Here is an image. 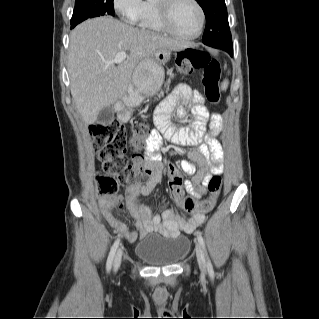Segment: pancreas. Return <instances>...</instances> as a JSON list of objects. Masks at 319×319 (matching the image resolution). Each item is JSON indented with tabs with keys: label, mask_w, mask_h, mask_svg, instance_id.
Returning a JSON list of instances; mask_svg holds the SVG:
<instances>
[{
	"label": "pancreas",
	"mask_w": 319,
	"mask_h": 319,
	"mask_svg": "<svg viewBox=\"0 0 319 319\" xmlns=\"http://www.w3.org/2000/svg\"><path fill=\"white\" fill-rule=\"evenodd\" d=\"M173 77H174V75H171L170 78L168 79V81H167V83H166V85H165V86H167L166 91L169 90V84H170V81H171V79H172ZM163 94H164L163 91H161L160 94L158 95V97H160V96L163 95ZM138 97H140V96H138ZM140 98H145V97H140ZM131 111L133 112V110H131Z\"/></svg>",
	"instance_id": "1"
}]
</instances>
